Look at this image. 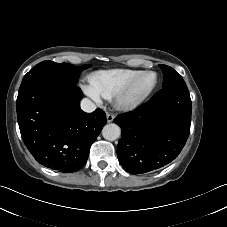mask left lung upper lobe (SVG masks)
Returning <instances> with one entry per match:
<instances>
[{
	"label": "left lung upper lobe",
	"mask_w": 227,
	"mask_h": 227,
	"mask_svg": "<svg viewBox=\"0 0 227 227\" xmlns=\"http://www.w3.org/2000/svg\"><path fill=\"white\" fill-rule=\"evenodd\" d=\"M159 66L163 72V88L169 86H186L182 77L173 68L164 64H159Z\"/></svg>",
	"instance_id": "obj_1"
}]
</instances>
